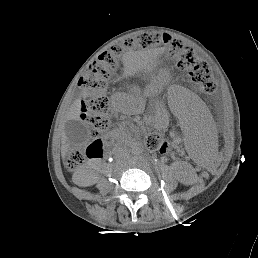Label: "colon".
<instances>
[{
	"instance_id": "1",
	"label": "colon",
	"mask_w": 258,
	"mask_h": 258,
	"mask_svg": "<svg viewBox=\"0 0 258 258\" xmlns=\"http://www.w3.org/2000/svg\"><path fill=\"white\" fill-rule=\"evenodd\" d=\"M157 45H164L177 57L178 63L184 69H188L192 80L201 86L204 93H212L215 85L212 72L207 62L195 57L192 50L185 48L183 44L167 34L155 32L144 33L134 39H129L123 45H116L103 52L89 66L81 79L82 87L88 95L83 102V115L85 121L95 131H101L108 127L106 110L108 100L106 89L110 78L117 67V58L124 49H148ZM149 149L166 153L170 149L169 143L157 132H149L145 137ZM102 154V144L97 145ZM84 159V154L79 149L72 150L67 158V168L74 170Z\"/></svg>"
}]
</instances>
